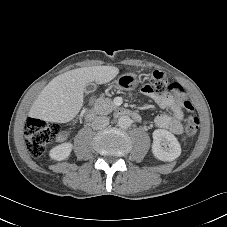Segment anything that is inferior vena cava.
I'll use <instances>...</instances> for the list:
<instances>
[{"instance_id": "1", "label": "inferior vena cava", "mask_w": 227, "mask_h": 227, "mask_svg": "<svg viewBox=\"0 0 227 227\" xmlns=\"http://www.w3.org/2000/svg\"><path fill=\"white\" fill-rule=\"evenodd\" d=\"M109 124V118L106 116H97L92 122L93 129H99Z\"/></svg>"}]
</instances>
